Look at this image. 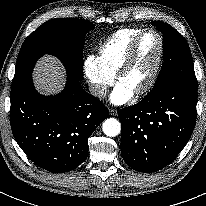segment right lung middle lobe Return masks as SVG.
Listing matches in <instances>:
<instances>
[{"mask_svg":"<svg viewBox=\"0 0 206 206\" xmlns=\"http://www.w3.org/2000/svg\"><path fill=\"white\" fill-rule=\"evenodd\" d=\"M93 29L91 22L76 18L43 23L26 38L20 49L11 89L31 76L36 61L44 54L55 55L64 63L68 75L81 80L85 35Z\"/></svg>","mask_w":206,"mask_h":206,"instance_id":"right-lung-middle-lobe-1","label":"right lung middle lobe"}]
</instances>
